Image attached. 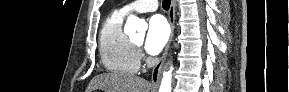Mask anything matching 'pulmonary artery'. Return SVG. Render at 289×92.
Returning a JSON list of instances; mask_svg holds the SVG:
<instances>
[{"label": "pulmonary artery", "instance_id": "pulmonary-artery-1", "mask_svg": "<svg viewBox=\"0 0 289 92\" xmlns=\"http://www.w3.org/2000/svg\"><path fill=\"white\" fill-rule=\"evenodd\" d=\"M158 8L157 0H138L125 5L120 9V12L127 15L132 12H153Z\"/></svg>", "mask_w": 289, "mask_h": 92}]
</instances>
